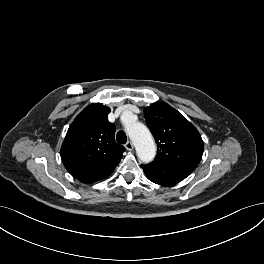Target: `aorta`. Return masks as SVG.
<instances>
[{"label":"aorta","instance_id":"762f6f07","mask_svg":"<svg viewBox=\"0 0 264 264\" xmlns=\"http://www.w3.org/2000/svg\"><path fill=\"white\" fill-rule=\"evenodd\" d=\"M123 124L135 145L138 158L144 163L151 162L156 155V146L148 128L144 124L134 121L133 115L123 118Z\"/></svg>","mask_w":264,"mask_h":264}]
</instances>
